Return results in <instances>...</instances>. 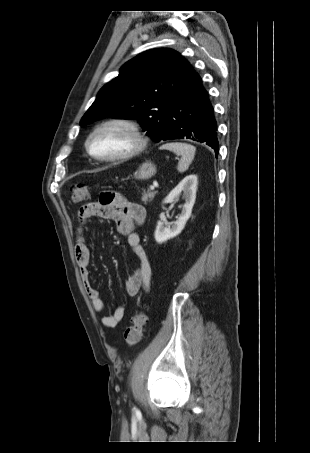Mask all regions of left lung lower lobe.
Masks as SVG:
<instances>
[{
    "instance_id": "0a47b994",
    "label": "left lung lower lobe",
    "mask_w": 310,
    "mask_h": 453,
    "mask_svg": "<svg viewBox=\"0 0 310 453\" xmlns=\"http://www.w3.org/2000/svg\"><path fill=\"white\" fill-rule=\"evenodd\" d=\"M173 139H191L206 143L216 154L219 151L214 109L201 77L192 67L160 137V141Z\"/></svg>"
}]
</instances>
